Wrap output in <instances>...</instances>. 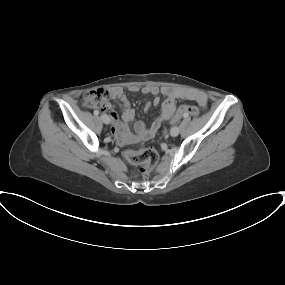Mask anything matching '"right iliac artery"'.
<instances>
[{
	"instance_id": "82829eb1",
	"label": "right iliac artery",
	"mask_w": 285,
	"mask_h": 285,
	"mask_svg": "<svg viewBox=\"0 0 285 285\" xmlns=\"http://www.w3.org/2000/svg\"><path fill=\"white\" fill-rule=\"evenodd\" d=\"M94 114H95V115H98V114H99V111L95 110V111H94Z\"/></svg>"
}]
</instances>
